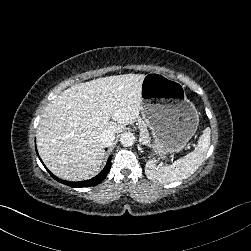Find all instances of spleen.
I'll return each mask as SVG.
<instances>
[{
	"mask_svg": "<svg viewBox=\"0 0 251 251\" xmlns=\"http://www.w3.org/2000/svg\"><path fill=\"white\" fill-rule=\"evenodd\" d=\"M211 129L207 127L199 137L194 151L178 159L174 166L157 167L154 160L146 163L145 174L154 182L169 183L190 177L203 163L210 146Z\"/></svg>",
	"mask_w": 251,
	"mask_h": 251,
	"instance_id": "3e777b00",
	"label": "spleen"
}]
</instances>
